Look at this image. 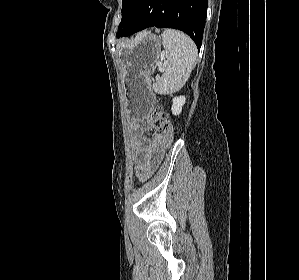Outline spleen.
I'll list each match as a JSON object with an SVG mask.
<instances>
[{
  "instance_id": "spleen-1",
  "label": "spleen",
  "mask_w": 299,
  "mask_h": 280,
  "mask_svg": "<svg viewBox=\"0 0 299 280\" xmlns=\"http://www.w3.org/2000/svg\"><path fill=\"white\" fill-rule=\"evenodd\" d=\"M162 44L166 52L167 66L152 88L157 94L166 95L185 85L196 64L198 51L190 37L173 29L164 30Z\"/></svg>"
}]
</instances>
